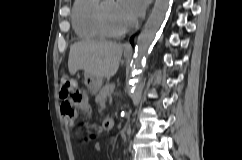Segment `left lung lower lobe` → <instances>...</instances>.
Masks as SVG:
<instances>
[{
    "label": "left lung lower lobe",
    "mask_w": 242,
    "mask_h": 160,
    "mask_svg": "<svg viewBox=\"0 0 242 160\" xmlns=\"http://www.w3.org/2000/svg\"><path fill=\"white\" fill-rule=\"evenodd\" d=\"M132 41H133V38H131L130 42L132 43Z\"/></svg>",
    "instance_id": "0a47b994"
}]
</instances>
